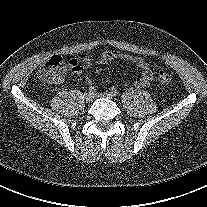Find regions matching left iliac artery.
Instances as JSON below:
<instances>
[{"label": "left iliac artery", "mask_w": 207, "mask_h": 207, "mask_svg": "<svg viewBox=\"0 0 207 207\" xmlns=\"http://www.w3.org/2000/svg\"><path fill=\"white\" fill-rule=\"evenodd\" d=\"M110 94H111L112 96H117L118 91L115 90V89H111Z\"/></svg>", "instance_id": "obj_1"}]
</instances>
